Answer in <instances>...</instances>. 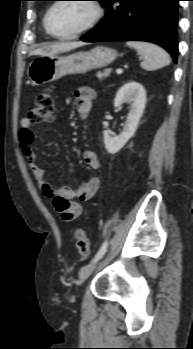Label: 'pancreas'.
I'll list each match as a JSON object with an SVG mask.
<instances>
[{"label": "pancreas", "mask_w": 193, "mask_h": 349, "mask_svg": "<svg viewBox=\"0 0 193 349\" xmlns=\"http://www.w3.org/2000/svg\"><path fill=\"white\" fill-rule=\"evenodd\" d=\"M111 73V69H106L103 72L99 71L97 72L96 76L98 77V79L102 80L105 77H108Z\"/></svg>", "instance_id": "obj_1"}]
</instances>
